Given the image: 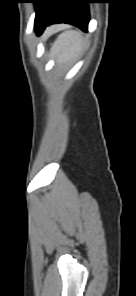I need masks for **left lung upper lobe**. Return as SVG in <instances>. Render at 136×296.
I'll use <instances>...</instances> for the list:
<instances>
[{
	"label": "left lung upper lobe",
	"instance_id": "obj_1",
	"mask_svg": "<svg viewBox=\"0 0 136 296\" xmlns=\"http://www.w3.org/2000/svg\"><path fill=\"white\" fill-rule=\"evenodd\" d=\"M53 1L54 0H32L36 8L35 22L44 19L52 7Z\"/></svg>",
	"mask_w": 136,
	"mask_h": 296
}]
</instances>
